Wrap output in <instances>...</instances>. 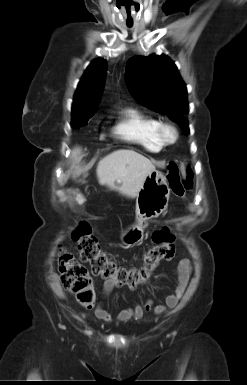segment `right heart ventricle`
Returning a JSON list of instances; mask_svg holds the SVG:
<instances>
[{"label": "right heart ventricle", "instance_id": "right-heart-ventricle-1", "mask_svg": "<svg viewBox=\"0 0 247 385\" xmlns=\"http://www.w3.org/2000/svg\"><path fill=\"white\" fill-rule=\"evenodd\" d=\"M159 120L135 108H126L120 113L114 133L121 139L137 144L148 152H159L163 145L156 130Z\"/></svg>", "mask_w": 247, "mask_h": 385}]
</instances>
